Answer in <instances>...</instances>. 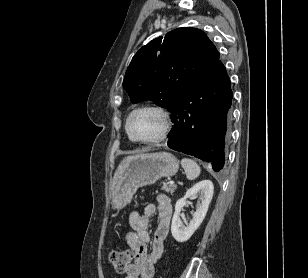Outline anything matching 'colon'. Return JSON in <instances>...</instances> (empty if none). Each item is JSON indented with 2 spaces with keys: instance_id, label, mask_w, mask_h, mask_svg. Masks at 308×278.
Returning <instances> with one entry per match:
<instances>
[{
  "instance_id": "obj_1",
  "label": "colon",
  "mask_w": 308,
  "mask_h": 278,
  "mask_svg": "<svg viewBox=\"0 0 308 278\" xmlns=\"http://www.w3.org/2000/svg\"><path fill=\"white\" fill-rule=\"evenodd\" d=\"M133 257L130 250L113 251L108 256V262L117 273H124Z\"/></svg>"
}]
</instances>
